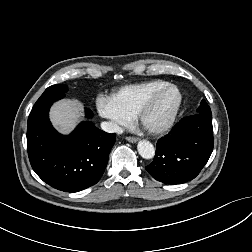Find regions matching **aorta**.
<instances>
[{"label": "aorta", "mask_w": 252, "mask_h": 252, "mask_svg": "<svg viewBox=\"0 0 252 252\" xmlns=\"http://www.w3.org/2000/svg\"><path fill=\"white\" fill-rule=\"evenodd\" d=\"M137 150L140 156L144 159H151L155 155V148L153 144L147 140H141L138 142Z\"/></svg>", "instance_id": "1"}]
</instances>
